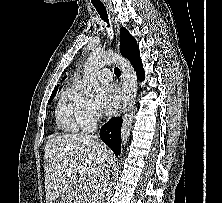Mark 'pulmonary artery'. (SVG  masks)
<instances>
[{
  "label": "pulmonary artery",
  "mask_w": 222,
  "mask_h": 203,
  "mask_svg": "<svg viewBox=\"0 0 222 203\" xmlns=\"http://www.w3.org/2000/svg\"><path fill=\"white\" fill-rule=\"evenodd\" d=\"M97 78L101 83L107 84L112 80V73L109 69L104 68L98 72Z\"/></svg>",
  "instance_id": "e3ab8cb5"
}]
</instances>
